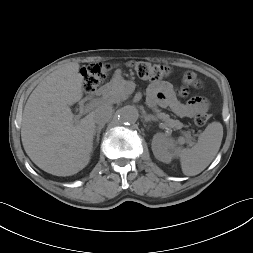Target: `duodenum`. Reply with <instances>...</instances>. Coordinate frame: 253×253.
Segmentation results:
<instances>
[{
	"instance_id": "410a0bca",
	"label": "duodenum",
	"mask_w": 253,
	"mask_h": 253,
	"mask_svg": "<svg viewBox=\"0 0 253 253\" xmlns=\"http://www.w3.org/2000/svg\"><path fill=\"white\" fill-rule=\"evenodd\" d=\"M101 93H102V90L99 91V94H101Z\"/></svg>"
}]
</instances>
